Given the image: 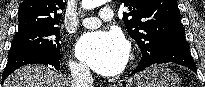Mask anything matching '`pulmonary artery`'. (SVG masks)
Here are the masks:
<instances>
[{
	"mask_svg": "<svg viewBox=\"0 0 205 87\" xmlns=\"http://www.w3.org/2000/svg\"><path fill=\"white\" fill-rule=\"evenodd\" d=\"M115 19L114 11L109 7H103L99 16H91L82 19L81 23L86 28H97L101 25L102 22H111Z\"/></svg>",
	"mask_w": 205,
	"mask_h": 87,
	"instance_id": "e3ab8cb5",
	"label": "pulmonary artery"
}]
</instances>
